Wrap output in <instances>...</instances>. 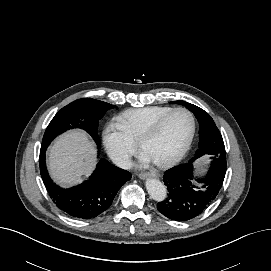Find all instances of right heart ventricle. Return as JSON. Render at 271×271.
Masks as SVG:
<instances>
[{"label": "right heart ventricle", "mask_w": 271, "mask_h": 271, "mask_svg": "<svg viewBox=\"0 0 271 271\" xmlns=\"http://www.w3.org/2000/svg\"><path fill=\"white\" fill-rule=\"evenodd\" d=\"M172 109L173 107L170 106H147L129 109L117 117L118 125L133 141H139L146 129Z\"/></svg>", "instance_id": "obj_1"}]
</instances>
